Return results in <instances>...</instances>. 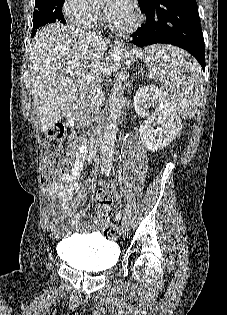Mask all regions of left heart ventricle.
Masks as SVG:
<instances>
[{
    "label": "left heart ventricle",
    "instance_id": "obj_1",
    "mask_svg": "<svg viewBox=\"0 0 227 315\" xmlns=\"http://www.w3.org/2000/svg\"><path fill=\"white\" fill-rule=\"evenodd\" d=\"M132 22V16H128L124 19H120L117 21L112 22L113 24L120 26V27H125L127 25H129Z\"/></svg>",
    "mask_w": 227,
    "mask_h": 315
}]
</instances>
